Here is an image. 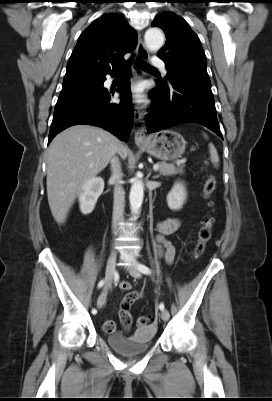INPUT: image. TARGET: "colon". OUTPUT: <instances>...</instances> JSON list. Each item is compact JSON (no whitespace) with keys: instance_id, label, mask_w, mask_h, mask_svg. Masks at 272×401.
<instances>
[{"instance_id":"obj_1","label":"colon","mask_w":272,"mask_h":401,"mask_svg":"<svg viewBox=\"0 0 272 401\" xmlns=\"http://www.w3.org/2000/svg\"><path fill=\"white\" fill-rule=\"evenodd\" d=\"M216 187V181L213 176H208L207 179L204 182L203 186V196L205 199L209 200L215 190ZM208 205L211 206L212 203L211 201L208 202ZM214 218L211 215H208L205 217V219L202 222L201 228L199 230L198 234V241L195 247V256L199 257L205 248V245L207 242L210 240L212 236V230L214 226ZM151 322V318L148 316H141L138 317L136 320V325L138 327H143V326H148Z\"/></svg>"}]
</instances>
